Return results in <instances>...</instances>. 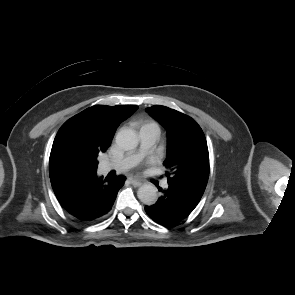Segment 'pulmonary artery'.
<instances>
[{
    "mask_svg": "<svg viewBox=\"0 0 295 295\" xmlns=\"http://www.w3.org/2000/svg\"><path fill=\"white\" fill-rule=\"evenodd\" d=\"M158 134L150 128L142 127L139 131L140 149L136 153H129L121 159L106 161L101 165L103 172L111 170L125 171L137 164L139 159L148 153L158 140ZM164 188L168 187L167 183L163 184Z\"/></svg>",
    "mask_w": 295,
    "mask_h": 295,
    "instance_id": "e3ab8cb5",
    "label": "pulmonary artery"
}]
</instances>
